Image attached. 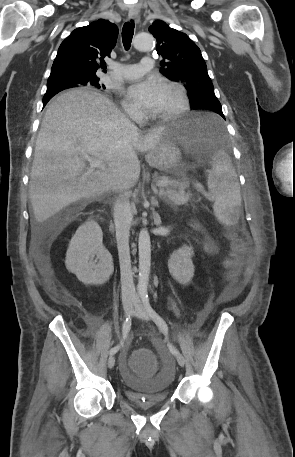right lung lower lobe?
I'll use <instances>...</instances> for the list:
<instances>
[{"mask_svg": "<svg viewBox=\"0 0 295 457\" xmlns=\"http://www.w3.org/2000/svg\"><path fill=\"white\" fill-rule=\"evenodd\" d=\"M72 87H76V86H71L70 84H67V83H54V84L47 85V91L48 90L61 91V90H64L67 88H72ZM47 91H46V93H47ZM46 103H47L46 100H44V98H43V105H46Z\"/></svg>", "mask_w": 295, "mask_h": 457, "instance_id": "1", "label": "right lung lower lobe"}]
</instances>
